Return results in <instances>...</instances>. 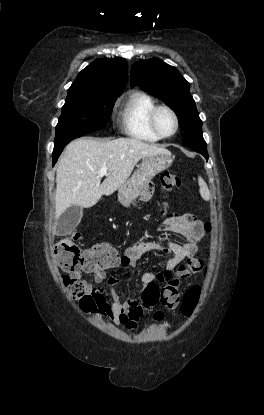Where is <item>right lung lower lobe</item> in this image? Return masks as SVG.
<instances>
[{
  "mask_svg": "<svg viewBox=\"0 0 264 415\" xmlns=\"http://www.w3.org/2000/svg\"><path fill=\"white\" fill-rule=\"evenodd\" d=\"M64 147L59 148V149H55L53 151V153H52V156H53V165L57 162V159L60 156V154H61V152H62V150H63Z\"/></svg>",
  "mask_w": 264,
  "mask_h": 415,
  "instance_id": "right-lung-lower-lobe-1",
  "label": "right lung lower lobe"
}]
</instances>
